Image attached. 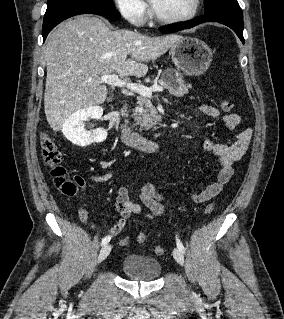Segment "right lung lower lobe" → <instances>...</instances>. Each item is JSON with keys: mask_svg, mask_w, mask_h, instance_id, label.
I'll list each match as a JSON object with an SVG mask.
<instances>
[{"mask_svg": "<svg viewBox=\"0 0 284 319\" xmlns=\"http://www.w3.org/2000/svg\"><path fill=\"white\" fill-rule=\"evenodd\" d=\"M80 14H96L113 20L120 18V13L113 8H85V9H71L54 15L53 17L43 20L42 35L45 41L48 33L60 22L75 15Z\"/></svg>", "mask_w": 284, "mask_h": 319, "instance_id": "right-lung-lower-lobe-1", "label": "right lung lower lobe"}]
</instances>
